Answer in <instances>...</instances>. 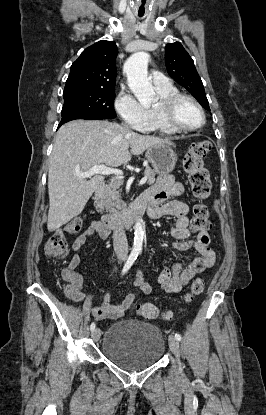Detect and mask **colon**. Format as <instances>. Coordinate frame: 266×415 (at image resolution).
Listing matches in <instances>:
<instances>
[{"label": "colon", "mask_w": 266, "mask_h": 415, "mask_svg": "<svg viewBox=\"0 0 266 415\" xmlns=\"http://www.w3.org/2000/svg\"><path fill=\"white\" fill-rule=\"evenodd\" d=\"M211 151V143L209 141H201L190 146L183 158V169L188 177V181L194 197L199 201L193 208V218L191 222V230L194 232H205L210 227L209 211L203 203L211 192V180L208 171L203 166V161ZM83 226V219L79 216L72 218L65 226L64 231L54 233L45 245V254L49 259H60L68 252V244L65 233L76 234ZM69 285L66 288L67 295L72 298L74 295V287L67 276ZM204 290V281L196 279L189 292L186 295L187 301H192L199 296ZM136 312L147 319H155L160 316L159 309L151 304L144 303L135 307ZM165 318H169L170 314L165 313Z\"/></svg>", "instance_id": "5ec220e1"}]
</instances>
